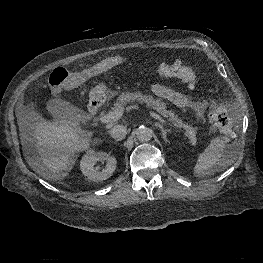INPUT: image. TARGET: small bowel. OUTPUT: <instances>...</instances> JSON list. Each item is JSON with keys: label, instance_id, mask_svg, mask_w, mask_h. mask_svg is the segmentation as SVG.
<instances>
[{"label": "small bowel", "instance_id": "obj_1", "mask_svg": "<svg viewBox=\"0 0 263 263\" xmlns=\"http://www.w3.org/2000/svg\"><path fill=\"white\" fill-rule=\"evenodd\" d=\"M151 89L155 95L172 102L177 107L192 109L199 118H203L205 115L208 107L205 100L197 99L160 84H154Z\"/></svg>", "mask_w": 263, "mask_h": 263}]
</instances>
